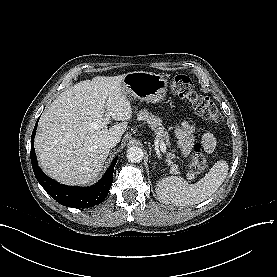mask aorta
Masks as SVG:
<instances>
[{"mask_svg":"<svg viewBox=\"0 0 277 277\" xmlns=\"http://www.w3.org/2000/svg\"><path fill=\"white\" fill-rule=\"evenodd\" d=\"M144 156V152L141 147L132 146L126 152V157L128 161L132 163L141 162Z\"/></svg>","mask_w":277,"mask_h":277,"instance_id":"aorta-1","label":"aorta"}]
</instances>
